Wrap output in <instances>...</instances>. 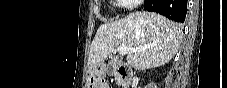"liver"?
<instances>
[{
	"mask_svg": "<svg viewBox=\"0 0 227 88\" xmlns=\"http://www.w3.org/2000/svg\"><path fill=\"white\" fill-rule=\"evenodd\" d=\"M182 31L154 12L137 11L99 27L90 46L88 64L102 65L118 46L127 47V63L136 70L160 67L178 51Z\"/></svg>",
	"mask_w": 227,
	"mask_h": 88,
	"instance_id": "obj_1",
	"label": "liver"
}]
</instances>
